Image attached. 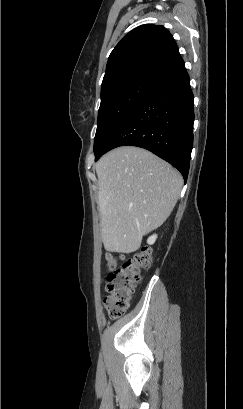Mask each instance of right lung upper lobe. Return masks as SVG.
I'll use <instances>...</instances> for the list:
<instances>
[{"label":"right lung upper lobe","instance_id":"right-lung-upper-lobe-1","mask_svg":"<svg viewBox=\"0 0 243 409\" xmlns=\"http://www.w3.org/2000/svg\"><path fill=\"white\" fill-rule=\"evenodd\" d=\"M183 59L170 32L160 25L139 26L125 35L111 52L101 95L113 83L136 76L161 80Z\"/></svg>","mask_w":243,"mask_h":409}]
</instances>
